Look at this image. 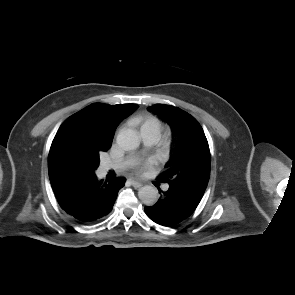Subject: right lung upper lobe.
Returning <instances> with one entry per match:
<instances>
[{"label": "right lung upper lobe", "instance_id": "obj_1", "mask_svg": "<svg viewBox=\"0 0 295 295\" xmlns=\"http://www.w3.org/2000/svg\"><path fill=\"white\" fill-rule=\"evenodd\" d=\"M136 108V104L94 103L66 119L50 148L49 174H74L87 162L92 149L107 151L118 124Z\"/></svg>", "mask_w": 295, "mask_h": 295}]
</instances>
